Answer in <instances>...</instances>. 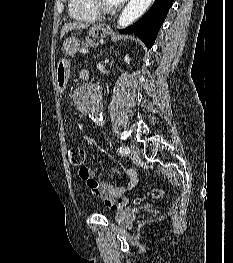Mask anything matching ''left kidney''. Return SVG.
Returning <instances> with one entry per match:
<instances>
[{
	"mask_svg": "<svg viewBox=\"0 0 233 263\" xmlns=\"http://www.w3.org/2000/svg\"><path fill=\"white\" fill-rule=\"evenodd\" d=\"M124 61H125L127 64H130L129 55H126V56L124 57Z\"/></svg>",
	"mask_w": 233,
	"mask_h": 263,
	"instance_id": "1",
	"label": "left kidney"
}]
</instances>
